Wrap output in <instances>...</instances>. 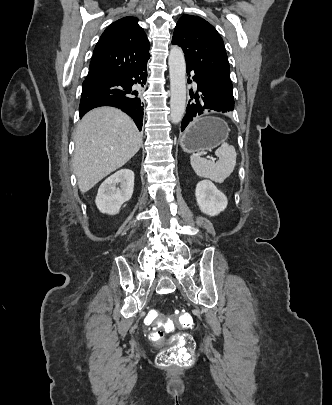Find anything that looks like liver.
<instances>
[{"label":"liver","mask_w":332,"mask_h":405,"mask_svg":"<svg viewBox=\"0 0 332 405\" xmlns=\"http://www.w3.org/2000/svg\"><path fill=\"white\" fill-rule=\"evenodd\" d=\"M73 170L81 192L126 164L142 146V134L121 110L100 107L88 112L74 135Z\"/></svg>","instance_id":"6515ba94"}]
</instances>
